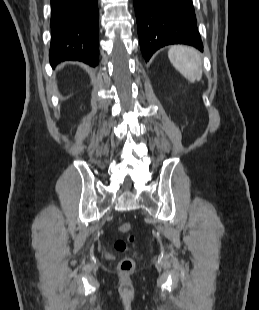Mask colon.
<instances>
[{"label": "colon", "instance_id": "colon-1", "mask_svg": "<svg viewBox=\"0 0 259 310\" xmlns=\"http://www.w3.org/2000/svg\"><path fill=\"white\" fill-rule=\"evenodd\" d=\"M131 229H132V225L127 222L119 225V231L122 233H128L131 231ZM129 241L133 243L134 237L130 236ZM114 248L117 252H120V253H125L128 251L127 244L122 239H117L115 241ZM135 256L136 255L134 254L132 256H127V257L122 258L119 261L118 268L124 272L132 271L135 268Z\"/></svg>", "mask_w": 259, "mask_h": 310}]
</instances>
